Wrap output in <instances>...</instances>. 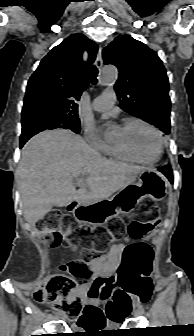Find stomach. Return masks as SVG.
I'll return each mask as SVG.
<instances>
[{
	"label": "stomach",
	"mask_w": 194,
	"mask_h": 336,
	"mask_svg": "<svg viewBox=\"0 0 194 336\" xmlns=\"http://www.w3.org/2000/svg\"><path fill=\"white\" fill-rule=\"evenodd\" d=\"M167 194L165 178L152 168L143 169L137 183L120 190L110 199L87 206H77L73 215L78 223L104 225L120 213H128L146 197L154 201L164 199Z\"/></svg>",
	"instance_id": "stomach-1"
}]
</instances>
